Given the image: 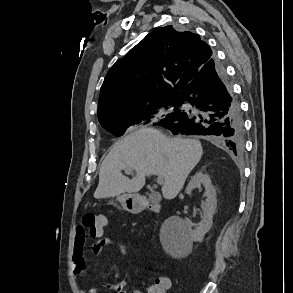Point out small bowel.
Masks as SVG:
<instances>
[{"mask_svg": "<svg viewBox=\"0 0 293 293\" xmlns=\"http://www.w3.org/2000/svg\"><path fill=\"white\" fill-rule=\"evenodd\" d=\"M86 243L87 235L82 228H79L74 239L72 259L73 272L78 277H82L86 274L89 255H100L105 250V248H114L118 250L121 255L126 254V246L124 244L109 237H105L104 233L98 238L93 239L90 249L86 248ZM159 279L166 281V293V291L171 287V281L166 277H160ZM105 285L115 293H143V291L139 289H130L128 280L126 278L120 280L117 283L105 282ZM81 293H97V289L94 287H89L83 290Z\"/></svg>", "mask_w": 293, "mask_h": 293, "instance_id": "1", "label": "small bowel"}]
</instances>
